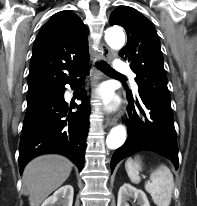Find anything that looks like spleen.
I'll use <instances>...</instances> for the list:
<instances>
[{
	"label": "spleen",
	"mask_w": 197,
	"mask_h": 206,
	"mask_svg": "<svg viewBox=\"0 0 197 206\" xmlns=\"http://www.w3.org/2000/svg\"><path fill=\"white\" fill-rule=\"evenodd\" d=\"M125 169L130 181L138 184L141 181L139 171L141 170L140 157L128 158ZM174 189V179L170 169L166 165H160L150 175V180L145 184V190L151 195L157 206H169Z\"/></svg>",
	"instance_id": "obj_1"
}]
</instances>
